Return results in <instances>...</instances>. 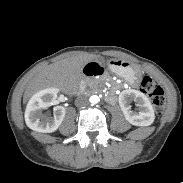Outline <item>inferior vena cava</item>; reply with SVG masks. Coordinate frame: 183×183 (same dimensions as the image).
<instances>
[{
    "label": "inferior vena cava",
    "instance_id": "602c4592",
    "mask_svg": "<svg viewBox=\"0 0 183 183\" xmlns=\"http://www.w3.org/2000/svg\"><path fill=\"white\" fill-rule=\"evenodd\" d=\"M89 103L88 99L86 96H79L77 97V99L75 100V105L77 107H84L87 106Z\"/></svg>",
    "mask_w": 183,
    "mask_h": 183
}]
</instances>
